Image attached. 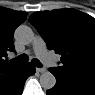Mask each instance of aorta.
I'll return each mask as SVG.
<instances>
[{
  "label": "aorta",
  "mask_w": 95,
  "mask_h": 95,
  "mask_svg": "<svg viewBox=\"0 0 95 95\" xmlns=\"http://www.w3.org/2000/svg\"><path fill=\"white\" fill-rule=\"evenodd\" d=\"M15 38L23 44H29L34 38V33L30 27L21 25L15 31ZM40 84L44 90H49L55 86L56 78L51 72L46 71L40 76Z\"/></svg>",
  "instance_id": "1"
}]
</instances>
